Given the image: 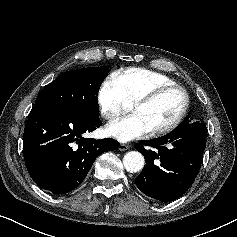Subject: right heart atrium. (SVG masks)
Returning <instances> with one entry per match:
<instances>
[{
	"instance_id": "d8ad5b80",
	"label": "right heart atrium",
	"mask_w": 237,
	"mask_h": 237,
	"mask_svg": "<svg viewBox=\"0 0 237 237\" xmlns=\"http://www.w3.org/2000/svg\"><path fill=\"white\" fill-rule=\"evenodd\" d=\"M96 100L101 117L107 121L115 119L128 106L113 77H108L101 82Z\"/></svg>"
}]
</instances>
